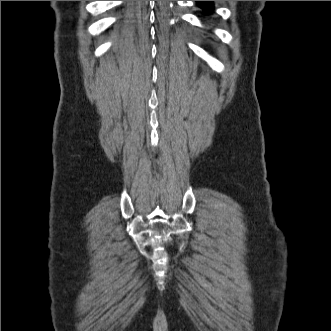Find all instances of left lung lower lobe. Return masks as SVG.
I'll use <instances>...</instances> for the list:
<instances>
[{
	"mask_svg": "<svg viewBox=\"0 0 331 331\" xmlns=\"http://www.w3.org/2000/svg\"><path fill=\"white\" fill-rule=\"evenodd\" d=\"M197 3L204 10L205 13H209L213 8L212 1H197Z\"/></svg>",
	"mask_w": 331,
	"mask_h": 331,
	"instance_id": "1",
	"label": "left lung lower lobe"
}]
</instances>
